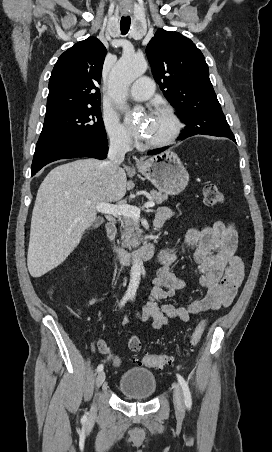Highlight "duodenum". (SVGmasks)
Instances as JSON below:
<instances>
[{
  "label": "duodenum",
  "mask_w": 272,
  "mask_h": 452,
  "mask_svg": "<svg viewBox=\"0 0 272 452\" xmlns=\"http://www.w3.org/2000/svg\"><path fill=\"white\" fill-rule=\"evenodd\" d=\"M154 226L161 228L162 223L159 220H155ZM106 232L111 252L124 261L131 262L138 259L147 260L155 255L156 248L152 242L144 243L134 250H128L118 245L116 242L117 228L115 222L112 220L106 223Z\"/></svg>",
  "instance_id": "obj_1"
}]
</instances>
